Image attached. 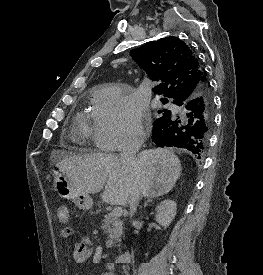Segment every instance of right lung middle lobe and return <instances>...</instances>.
<instances>
[{"label": "right lung middle lobe", "mask_w": 263, "mask_h": 275, "mask_svg": "<svg viewBox=\"0 0 263 275\" xmlns=\"http://www.w3.org/2000/svg\"><path fill=\"white\" fill-rule=\"evenodd\" d=\"M161 102H162L163 104H165V103L168 102V100H167L166 98H163V99L161 100ZM174 103L177 104L176 101H175ZM159 113L161 114V116H160L158 119H160V118H165V117H168V116L171 115V111H168L167 109L159 110ZM156 120H157V119H156Z\"/></svg>", "instance_id": "1"}]
</instances>
